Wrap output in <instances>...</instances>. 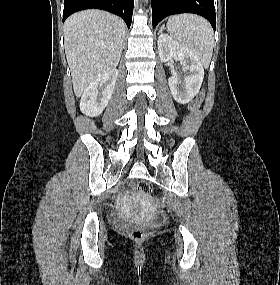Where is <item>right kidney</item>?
<instances>
[{
    "label": "right kidney",
    "instance_id": "obj_1",
    "mask_svg": "<svg viewBox=\"0 0 280 285\" xmlns=\"http://www.w3.org/2000/svg\"><path fill=\"white\" fill-rule=\"evenodd\" d=\"M118 76V70L112 69L99 76L84 90L80 101V110L83 114L99 116L108 105ZM99 88H102L99 92Z\"/></svg>",
    "mask_w": 280,
    "mask_h": 285
}]
</instances>
